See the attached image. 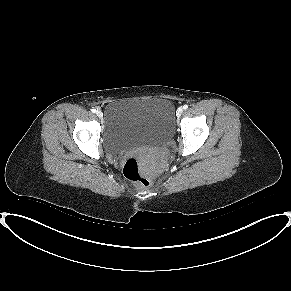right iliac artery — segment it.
Here are the masks:
<instances>
[{
    "instance_id": "right-iliac-artery-1",
    "label": "right iliac artery",
    "mask_w": 291,
    "mask_h": 291,
    "mask_svg": "<svg viewBox=\"0 0 291 291\" xmlns=\"http://www.w3.org/2000/svg\"><path fill=\"white\" fill-rule=\"evenodd\" d=\"M92 112H93V113H96V109H92Z\"/></svg>"
}]
</instances>
